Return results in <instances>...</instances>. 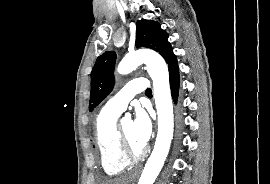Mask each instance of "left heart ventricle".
Returning <instances> with one entry per match:
<instances>
[{
	"label": "left heart ventricle",
	"mask_w": 270,
	"mask_h": 184,
	"mask_svg": "<svg viewBox=\"0 0 270 184\" xmlns=\"http://www.w3.org/2000/svg\"><path fill=\"white\" fill-rule=\"evenodd\" d=\"M121 124H122L123 131L125 135L127 136L131 146L135 150H140L144 145L141 142H139L135 136L133 121L126 119Z\"/></svg>",
	"instance_id": "obj_1"
}]
</instances>
